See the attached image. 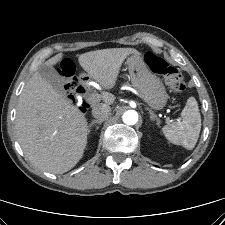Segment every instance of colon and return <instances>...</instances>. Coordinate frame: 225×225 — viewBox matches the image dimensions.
<instances>
[{
	"mask_svg": "<svg viewBox=\"0 0 225 225\" xmlns=\"http://www.w3.org/2000/svg\"><path fill=\"white\" fill-rule=\"evenodd\" d=\"M145 62L148 67L154 72L164 77L169 89L175 92H181L185 89V81L179 70L171 66L165 59L154 54L147 52L145 54ZM61 72L65 78V88L69 97L77 100L81 96V86L77 78L74 76V66L69 60H64L61 63ZM89 104L86 101L81 102L80 109L87 111Z\"/></svg>",
	"mask_w": 225,
	"mask_h": 225,
	"instance_id": "1",
	"label": "colon"
}]
</instances>
